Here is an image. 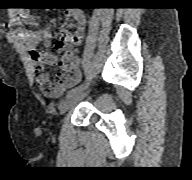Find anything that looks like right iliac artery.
Listing matches in <instances>:
<instances>
[{"mask_svg": "<svg viewBox=\"0 0 192 180\" xmlns=\"http://www.w3.org/2000/svg\"><path fill=\"white\" fill-rule=\"evenodd\" d=\"M87 84L88 83H85V84H82L80 86H77V87L71 89L70 91L67 92L66 98H69L71 96H74V95L78 94L79 92H81L87 86Z\"/></svg>", "mask_w": 192, "mask_h": 180, "instance_id": "obj_1", "label": "right iliac artery"}]
</instances>
